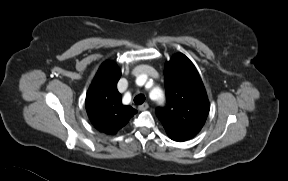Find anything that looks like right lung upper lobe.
Listing matches in <instances>:
<instances>
[{"mask_svg":"<svg viewBox=\"0 0 288 181\" xmlns=\"http://www.w3.org/2000/svg\"><path fill=\"white\" fill-rule=\"evenodd\" d=\"M120 76L121 71L115 63L104 62L86 96V110L92 124L106 134H115L137 113L121 102V94L117 90Z\"/></svg>","mask_w":288,"mask_h":181,"instance_id":"obj_1","label":"right lung upper lobe"}]
</instances>
